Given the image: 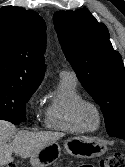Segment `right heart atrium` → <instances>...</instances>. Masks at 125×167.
I'll return each instance as SVG.
<instances>
[{"label":"right heart atrium","mask_w":125,"mask_h":167,"mask_svg":"<svg viewBox=\"0 0 125 167\" xmlns=\"http://www.w3.org/2000/svg\"><path fill=\"white\" fill-rule=\"evenodd\" d=\"M28 105H29L33 110H35V109L37 108V103H36V100H35L34 95H32V96L28 99Z\"/></svg>","instance_id":"d8ad5b80"}]
</instances>
